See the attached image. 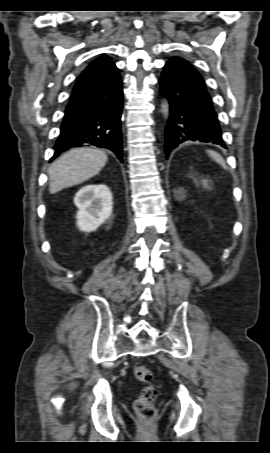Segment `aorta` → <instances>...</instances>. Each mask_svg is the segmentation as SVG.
I'll list each match as a JSON object with an SVG mask.
<instances>
[{
  "label": "aorta",
  "mask_w": 270,
  "mask_h": 453,
  "mask_svg": "<svg viewBox=\"0 0 270 453\" xmlns=\"http://www.w3.org/2000/svg\"><path fill=\"white\" fill-rule=\"evenodd\" d=\"M162 111L163 113L167 116L168 115V112H169V108H168V103L167 102H164L163 105H162Z\"/></svg>",
  "instance_id": "762f6f07"
}]
</instances>
